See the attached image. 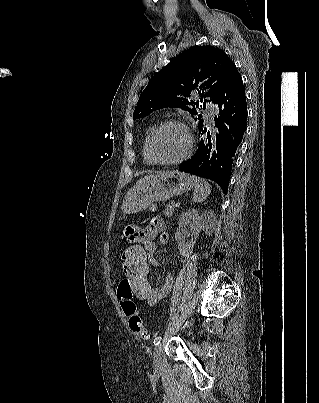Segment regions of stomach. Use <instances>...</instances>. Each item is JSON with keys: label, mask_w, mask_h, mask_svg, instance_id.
Segmentation results:
<instances>
[{"label": "stomach", "mask_w": 319, "mask_h": 403, "mask_svg": "<svg viewBox=\"0 0 319 403\" xmlns=\"http://www.w3.org/2000/svg\"><path fill=\"white\" fill-rule=\"evenodd\" d=\"M194 187L191 176L181 172H163L151 176L131 188L122 204L126 214L145 210L153 202H163Z\"/></svg>", "instance_id": "obj_1"}]
</instances>
